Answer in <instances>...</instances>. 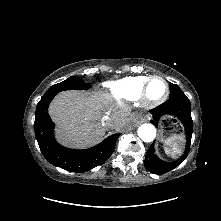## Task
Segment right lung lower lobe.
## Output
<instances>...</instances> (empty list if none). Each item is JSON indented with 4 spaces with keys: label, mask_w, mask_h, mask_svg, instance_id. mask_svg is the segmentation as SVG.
<instances>
[{
    "label": "right lung lower lobe",
    "mask_w": 221,
    "mask_h": 221,
    "mask_svg": "<svg viewBox=\"0 0 221 221\" xmlns=\"http://www.w3.org/2000/svg\"><path fill=\"white\" fill-rule=\"evenodd\" d=\"M55 95H44L36 107L35 137L45 159L55 166L77 173L104 163L112 155L120 134L111 135L98 145L85 150L61 146L54 138V123L48 114L49 103Z\"/></svg>",
    "instance_id": "obj_1"
}]
</instances>
